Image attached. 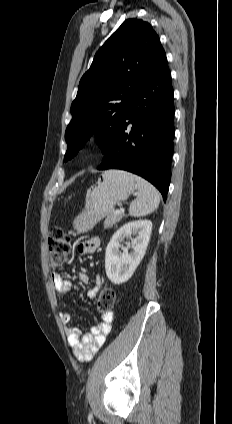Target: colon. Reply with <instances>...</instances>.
Listing matches in <instances>:
<instances>
[{
	"label": "colon",
	"instance_id": "obj_1",
	"mask_svg": "<svg viewBox=\"0 0 232 424\" xmlns=\"http://www.w3.org/2000/svg\"><path fill=\"white\" fill-rule=\"evenodd\" d=\"M70 241V234L65 227L55 225L50 229L48 250L50 265L53 269H58L64 265L68 256ZM115 302V290L111 287H105L98 294L96 304L97 311L102 314L110 312L113 309Z\"/></svg>",
	"mask_w": 232,
	"mask_h": 424
}]
</instances>
